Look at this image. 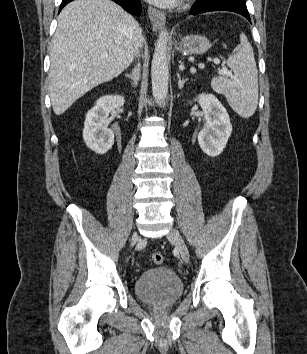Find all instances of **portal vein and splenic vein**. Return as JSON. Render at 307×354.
<instances>
[{
    "mask_svg": "<svg viewBox=\"0 0 307 354\" xmlns=\"http://www.w3.org/2000/svg\"><path fill=\"white\" fill-rule=\"evenodd\" d=\"M102 55H103V57H107V56H108V53H103ZM213 62H214L215 64H219V63H220V60H219L218 58H215V59H213ZM221 73L224 74V75H226V76L232 77V74H231L229 71H227L226 68H224L223 70H221Z\"/></svg>",
    "mask_w": 307,
    "mask_h": 354,
    "instance_id": "18ae733b",
    "label": "portal vein and splenic vein"
}]
</instances>
